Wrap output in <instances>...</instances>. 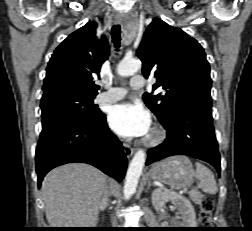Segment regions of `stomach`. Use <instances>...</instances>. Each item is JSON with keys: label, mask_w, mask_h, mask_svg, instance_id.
Returning a JSON list of instances; mask_svg holds the SVG:
<instances>
[{"label": "stomach", "mask_w": 252, "mask_h": 231, "mask_svg": "<svg viewBox=\"0 0 252 231\" xmlns=\"http://www.w3.org/2000/svg\"><path fill=\"white\" fill-rule=\"evenodd\" d=\"M149 174L153 180L181 189L191 184L195 173L188 157L173 156L156 163Z\"/></svg>", "instance_id": "0dacf381"}]
</instances>
